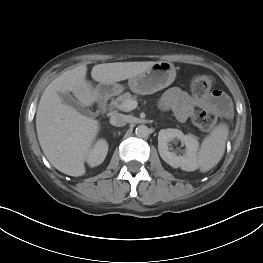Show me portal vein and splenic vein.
<instances>
[{"instance_id": "1", "label": "portal vein and splenic vein", "mask_w": 263, "mask_h": 263, "mask_svg": "<svg viewBox=\"0 0 263 263\" xmlns=\"http://www.w3.org/2000/svg\"><path fill=\"white\" fill-rule=\"evenodd\" d=\"M138 103L136 100H127L122 104V108L126 109L127 111H131L137 107Z\"/></svg>"}]
</instances>
